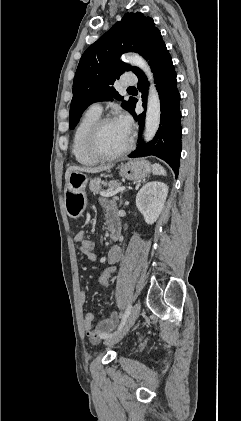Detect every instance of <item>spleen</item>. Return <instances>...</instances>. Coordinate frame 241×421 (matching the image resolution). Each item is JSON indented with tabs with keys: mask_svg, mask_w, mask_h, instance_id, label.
Returning <instances> with one entry per match:
<instances>
[{
	"mask_svg": "<svg viewBox=\"0 0 241 421\" xmlns=\"http://www.w3.org/2000/svg\"><path fill=\"white\" fill-rule=\"evenodd\" d=\"M152 173L154 175H166L165 169L160 164H154L152 166Z\"/></svg>",
	"mask_w": 241,
	"mask_h": 421,
	"instance_id": "3e777b00",
	"label": "spleen"
}]
</instances>
